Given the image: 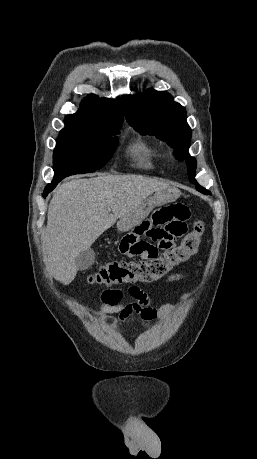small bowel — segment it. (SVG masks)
<instances>
[{
	"label": "small bowel",
	"mask_w": 257,
	"mask_h": 459,
	"mask_svg": "<svg viewBox=\"0 0 257 459\" xmlns=\"http://www.w3.org/2000/svg\"><path fill=\"white\" fill-rule=\"evenodd\" d=\"M191 219L190 206L184 200H174L173 205H154L150 217H144L143 223H134L133 230H128L123 239L117 240V253L124 263L142 264L143 261H156L159 251H173L175 242L181 236H190L192 229L186 226ZM187 274L175 272L164 278V283L182 282ZM124 302V293L119 289H106L101 294L102 305L94 314L105 321L107 327L120 326L134 315L141 318L143 325H150L158 316H168L175 306L164 304L159 309L150 305L147 295L136 285L131 286ZM186 298L187 294H182ZM113 313L119 316L113 317Z\"/></svg>",
	"instance_id": "1"
}]
</instances>
